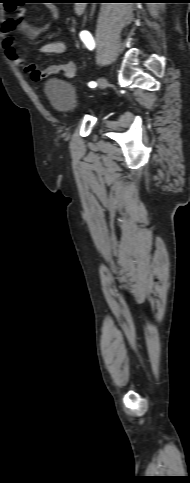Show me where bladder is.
<instances>
[{
	"label": "bladder",
	"mask_w": 190,
	"mask_h": 483,
	"mask_svg": "<svg viewBox=\"0 0 190 483\" xmlns=\"http://www.w3.org/2000/svg\"><path fill=\"white\" fill-rule=\"evenodd\" d=\"M45 92L52 106L59 112L69 114L78 101L73 84L61 78H51L45 83Z\"/></svg>",
	"instance_id": "obj_1"
}]
</instances>
